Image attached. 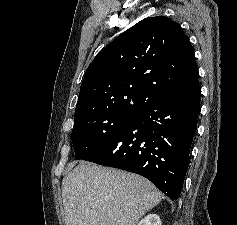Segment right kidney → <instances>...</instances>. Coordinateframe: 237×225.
Segmentation results:
<instances>
[{
	"label": "right kidney",
	"instance_id": "right-kidney-1",
	"mask_svg": "<svg viewBox=\"0 0 237 225\" xmlns=\"http://www.w3.org/2000/svg\"><path fill=\"white\" fill-rule=\"evenodd\" d=\"M137 225H161V220L157 214H148Z\"/></svg>",
	"mask_w": 237,
	"mask_h": 225
}]
</instances>
